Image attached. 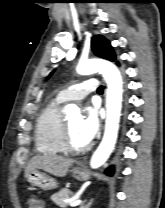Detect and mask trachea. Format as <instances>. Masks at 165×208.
Segmentation results:
<instances>
[{
	"label": "trachea",
	"mask_w": 165,
	"mask_h": 208,
	"mask_svg": "<svg viewBox=\"0 0 165 208\" xmlns=\"http://www.w3.org/2000/svg\"><path fill=\"white\" fill-rule=\"evenodd\" d=\"M97 91H98V93H102L103 92V86H100Z\"/></svg>",
	"instance_id": "trachea-1"
}]
</instances>
